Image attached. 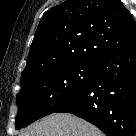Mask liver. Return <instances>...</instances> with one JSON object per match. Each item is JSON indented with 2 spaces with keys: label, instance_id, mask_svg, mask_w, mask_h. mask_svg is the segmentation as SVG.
<instances>
[{
  "label": "liver",
  "instance_id": "liver-1",
  "mask_svg": "<svg viewBox=\"0 0 136 136\" xmlns=\"http://www.w3.org/2000/svg\"><path fill=\"white\" fill-rule=\"evenodd\" d=\"M21 136H103L90 123L67 113H57L29 126Z\"/></svg>",
  "mask_w": 136,
  "mask_h": 136
}]
</instances>
